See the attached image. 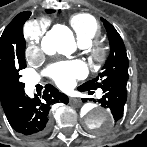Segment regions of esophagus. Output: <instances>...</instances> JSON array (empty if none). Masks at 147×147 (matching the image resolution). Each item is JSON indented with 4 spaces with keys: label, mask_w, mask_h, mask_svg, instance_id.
<instances>
[{
    "label": "esophagus",
    "mask_w": 147,
    "mask_h": 147,
    "mask_svg": "<svg viewBox=\"0 0 147 147\" xmlns=\"http://www.w3.org/2000/svg\"><path fill=\"white\" fill-rule=\"evenodd\" d=\"M70 102L74 103V104H77V103L80 102V99L79 98H70Z\"/></svg>",
    "instance_id": "esophagus-1"
}]
</instances>
